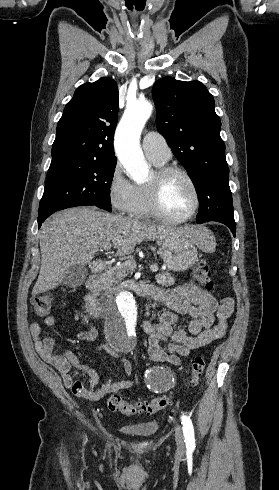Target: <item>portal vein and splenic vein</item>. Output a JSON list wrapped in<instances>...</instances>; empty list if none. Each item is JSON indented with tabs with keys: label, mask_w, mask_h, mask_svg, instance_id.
<instances>
[{
	"label": "portal vein and splenic vein",
	"mask_w": 279,
	"mask_h": 490,
	"mask_svg": "<svg viewBox=\"0 0 279 490\" xmlns=\"http://www.w3.org/2000/svg\"><path fill=\"white\" fill-rule=\"evenodd\" d=\"M108 248L109 244H105L104 250H108ZM131 264H133V262H126V266H131ZM150 270H152V272H158L159 268L158 266H150Z\"/></svg>",
	"instance_id": "portal-vein-and-splenic-vein-1"
}]
</instances>
